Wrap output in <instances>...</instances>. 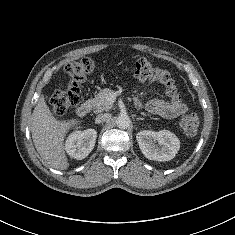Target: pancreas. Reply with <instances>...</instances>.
<instances>
[{
  "mask_svg": "<svg viewBox=\"0 0 235 235\" xmlns=\"http://www.w3.org/2000/svg\"><path fill=\"white\" fill-rule=\"evenodd\" d=\"M112 93L111 89L105 88L94 98L89 100L95 112L107 111L112 108V103L108 101L109 95Z\"/></svg>",
  "mask_w": 235,
  "mask_h": 235,
  "instance_id": "cf45deb5",
  "label": "pancreas"
}]
</instances>
